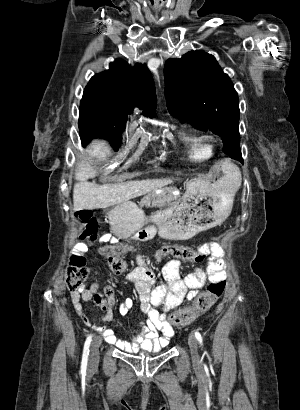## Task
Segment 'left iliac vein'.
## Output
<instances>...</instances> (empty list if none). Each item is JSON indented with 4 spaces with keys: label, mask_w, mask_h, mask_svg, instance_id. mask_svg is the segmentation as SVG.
Instances as JSON below:
<instances>
[{
    "label": "left iliac vein",
    "mask_w": 300,
    "mask_h": 410,
    "mask_svg": "<svg viewBox=\"0 0 300 410\" xmlns=\"http://www.w3.org/2000/svg\"><path fill=\"white\" fill-rule=\"evenodd\" d=\"M188 345L190 348V353H191V358H192L193 363L199 364L200 356L198 353V342L196 340V337L192 334H190L188 337Z\"/></svg>",
    "instance_id": "4c4485c4"
}]
</instances>
